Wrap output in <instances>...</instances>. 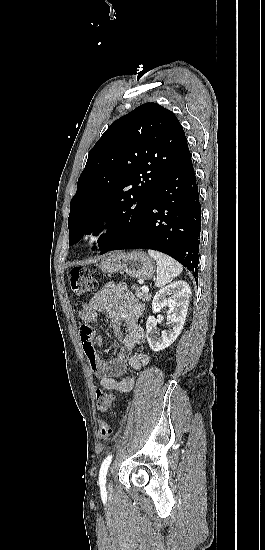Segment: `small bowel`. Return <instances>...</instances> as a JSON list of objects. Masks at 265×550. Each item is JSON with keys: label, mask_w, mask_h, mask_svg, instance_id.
<instances>
[{"label": "small bowel", "mask_w": 265, "mask_h": 550, "mask_svg": "<svg viewBox=\"0 0 265 550\" xmlns=\"http://www.w3.org/2000/svg\"><path fill=\"white\" fill-rule=\"evenodd\" d=\"M143 311V305L124 284H107L83 304L79 312L80 319L84 322L80 338L92 372L100 381V390L129 392L135 385L136 377L129 376L120 380L116 378L122 376L128 366L140 370L149 363L150 357L147 353H133L136 346L145 342L144 329L138 322ZM103 313L122 342L116 356L110 360L100 357L95 348L104 342L93 326Z\"/></svg>", "instance_id": "obj_1"}]
</instances>
